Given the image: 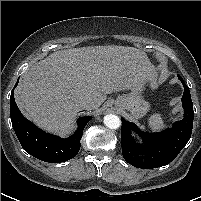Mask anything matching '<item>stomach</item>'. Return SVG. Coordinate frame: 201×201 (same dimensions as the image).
I'll return each instance as SVG.
<instances>
[{
    "instance_id": "0dacf381",
    "label": "stomach",
    "mask_w": 201,
    "mask_h": 201,
    "mask_svg": "<svg viewBox=\"0 0 201 201\" xmlns=\"http://www.w3.org/2000/svg\"><path fill=\"white\" fill-rule=\"evenodd\" d=\"M147 80L145 78H136L129 87V93L119 96L115 100V107L119 110H127L131 117L138 119L144 116L149 110V103L143 98Z\"/></svg>"
}]
</instances>
